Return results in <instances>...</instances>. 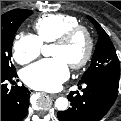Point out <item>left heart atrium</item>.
I'll use <instances>...</instances> for the list:
<instances>
[{
    "label": "left heart atrium",
    "instance_id": "obj_1",
    "mask_svg": "<svg viewBox=\"0 0 121 121\" xmlns=\"http://www.w3.org/2000/svg\"><path fill=\"white\" fill-rule=\"evenodd\" d=\"M68 76V63L62 57L41 60L22 72L28 86L44 91L57 90Z\"/></svg>",
    "mask_w": 121,
    "mask_h": 121
}]
</instances>
